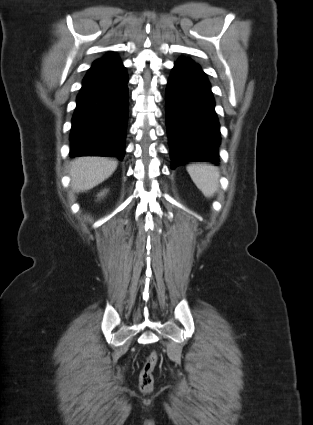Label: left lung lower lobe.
Here are the masks:
<instances>
[{
	"label": "left lung lower lobe",
	"mask_w": 313,
	"mask_h": 425,
	"mask_svg": "<svg viewBox=\"0 0 313 425\" xmlns=\"http://www.w3.org/2000/svg\"><path fill=\"white\" fill-rule=\"evenodd\" d=\"M166 125L172 168L188 162L218 163L220 125L211 85L190 58H179L169 78Z\"/></svg>",
	"instance_id": "1"
}]
</instances>
